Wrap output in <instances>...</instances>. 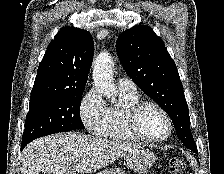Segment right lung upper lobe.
<instances>
[{
  "label": "right lung upper lobe",
  "instance_id": "right-lung-upper-lobe-1",
  "mask_svg": "<svg viewBox=\"0 0 224 174\" xmlns=\"http://www.w3.org/2000/svg\"><path fill=\"white\" fill-rule=\"evenodd\" d=\"M93 54V38L87 31L63 27L38 67L31 96L83 92Z\"/></svg>",
  "mask_w": 224,
  "mask_h": 174
}]
</instances>
